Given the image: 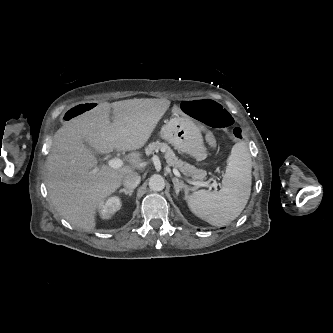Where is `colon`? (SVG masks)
<instances>
[{"instance_id": "colon-1", "label": "colon", "mask_w": 333, "mask_h": 333, "mask_svg": "<svg viewBox=\"0 0 333 333\" xmlns=\"http://www.w3.org/2000/svg\"><path fill=\"white\" fill-rule=\"evenodd\" d=\"M97 103L90 102L85 105H78L71 108L64 116L66 121H70L78 114L90 109L97 108ZM182 109L189 112V116L203 122L204 125L213 128L227 129V134L236 140H243L245 133L237 123H234L232 116L222 108L220 104L213 100H192L182 104Z\"/></svg>"}]
</instances>
